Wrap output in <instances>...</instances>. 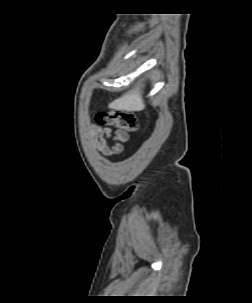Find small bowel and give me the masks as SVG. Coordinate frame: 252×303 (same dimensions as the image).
<instances>
[{"label": "small bowel", "mask_w": 252, "mask_h": 303, "mask_svg": "<svg viewBox=\"0 0 252 303\" xmlns=\"http://www.w3.org/2000/svg\"><path fill=\"white\" fill-rule=\"evenodd\" d=\"M88 137L99 153L103 156L111 157L123 152L129 134L125 130L113 131L108 127L100 128L93 126L89 129Z\"/></svg>", "instance_id": "1"}]
</instances>
